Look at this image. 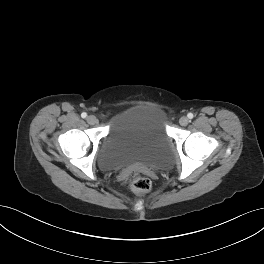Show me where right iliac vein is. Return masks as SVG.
Wrapping results in <instances>:
<instances>
[{"instance_id": "right-iliac-vein-1", "label": "right iliac vein", "mask_w": 264, "mask_h": 264, "mask_svg": "<svg viewBox=\"0 0 264 264\" xmlns=\"http://www.w3.org/2000/svg\"><path fill=\"white\" fill-rule=\"evenodd\" d=\"M86 120L90 125H94L97 123V118L94 115L88 116Z\"/></svg>"}]
</instances>
